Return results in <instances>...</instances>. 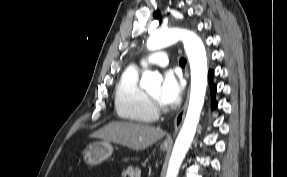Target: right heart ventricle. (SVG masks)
<instances>
[{
    "label": "right heart ventricle",
    "mask_w": 287,
    "mask_h": 177,
    "mask_svg": "<svg viewBox=\"0 0 287 177\" xmlns=\"http://www.w3.org/2000/svg\"><path fill=\"white\" fill-rule=\"evenodd\" d=\"M140 70L127 67L114 91V108L120 120L132 123H150L156 119L145 90L139 84Z\"/></svg>",
    "instance_id": "obj_1"
}]
</instances>
